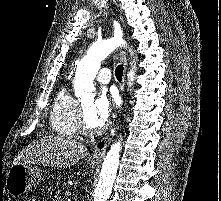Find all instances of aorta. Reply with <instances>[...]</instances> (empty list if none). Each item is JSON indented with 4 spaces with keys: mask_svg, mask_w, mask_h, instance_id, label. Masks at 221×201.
<instances>
[{
    "mask_svg": "<svg viewBox=\"0 0 221 201\" xmlns=\"http://www.w3.org/2000/svg\"><path fill=\"white\" fill-rule=\"evenodd\" d=\"M121 37H113L96 42L87 51V55L79 62L74 78V90L77 97H85L94 91L93 81L100 69L101 62L117 47L126 46ZM131 52V50H130ZM135 67L129 72V86L135 76ZM121 142H115L104 158L93 201H107L116 178L120 160Z\"/></svg>",
    "mask_w": 221,
    "mask_h": 201,
    "instance_id": "1",
    "label": "aorta"
}]
</instances>
